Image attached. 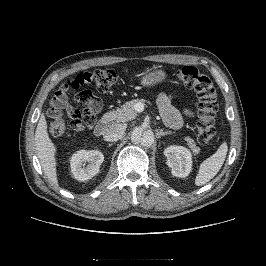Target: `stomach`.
Segmentation results:
<instances>
[{
    "instance_id": "obj_1",
    "label": "stomach",
    "mask_w": 266,
    "mask_h": 266,
    "mask_svg": "<svg viewBox=\"0 0 266 266\" xmlns=\"http://www.w3.org/2000/svg\"><path fill=\"white\" fill-rule=\"evenodd\" d=\"M166 73L162 69H153L145 74L140 79V84L143 87H153L162 83L166 79Z\"/></svg>"
}]
</instances>
